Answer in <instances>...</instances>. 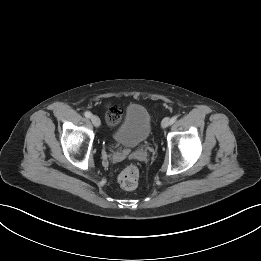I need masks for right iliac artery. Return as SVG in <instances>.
Listing matches in <instances>:
<instances>
[{"instance_id":"82829eb1","label":"right iliac artery","mask_w":261,"mask_h":261,"mask_svg":"<svg viewBox=\"0 0 261 261\" xmlns=\"http://www.w3.org/2000/svg\"><path fill=\"white\" fill-rule=\"evenodd\" d=\"M84 115H85V117H87V118H91V116H92L91 112H89V111H86V112L84 113Z\"/></svg>"}]
</instances>
